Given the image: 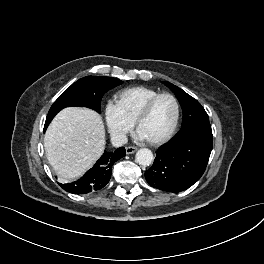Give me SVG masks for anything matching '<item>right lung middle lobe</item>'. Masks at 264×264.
<instances>
[{"label": "right lung middle lobe", "instance_id": "dd1d6c3e", "mask_svg": "<svg viewBox=\"0 0 264 264\" xmlns=\"http://www.w3.org/2000/svg\"><path fill=\"white\" fill-rule=\"evenodd\" d=\"M122 83L119 79L99 76H87L76 81L54 102L48 112L45 126H48L53 117L65 107L83 106L100 112L104 93Z\"/></svg>", "mask_w": 264, "mask_h": 264}]
</instances>
